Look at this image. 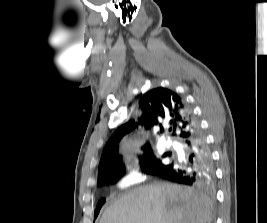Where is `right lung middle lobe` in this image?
<instances>
[{
	"mask_svg": "<svg viewBox=\"0 0 267 223\" xmlns=\"http://www.w3.org/2000/svg\"><path fill=\"white\" fill-rule=\"evenodd\" d=\"M171 154L165 153L164 156H170ZM144 172L151 174H158L167 165L163 164L159 159H157L153 153L145 155L143 161L141 162ZM124 174V166L114 167L109 169L104 175L99 178L98 185L109 184L116 181ZM105 203V199H101L97 205V213H94V217H97L101 206Z\"/></svg>",
	"mask_w": 267,
	"mask_h": 223,
	"instance_id": "right-lung-middle-lobe-1",
	"label": "right lung middle lobe"
}]
</instances>
